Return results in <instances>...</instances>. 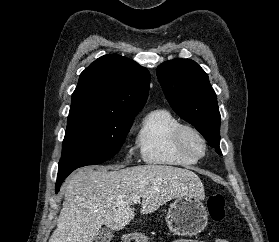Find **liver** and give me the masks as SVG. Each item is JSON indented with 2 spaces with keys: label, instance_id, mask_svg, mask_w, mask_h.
Wrapping results in <instances>:
<instances>
[{
  "label": "liver",
  "instance_id": "liver-1",
  "mask_svg": "<svg viewBox=\"0 0 279 242\" xmlns=\"http://www.w3.org/2000/svg\"><path fill=\"white\" fill-rule=\"evenodd\" d=\"M62 189L63 207L49 242H92L103 225L124 229L135 216V196L142 198V214L178 197L204 199L203 184L194 172L164 165L87 167L66 179Z\"/></svg>",
  "mask_w": 279,
  "mask_h": 242
}]
</instances>
